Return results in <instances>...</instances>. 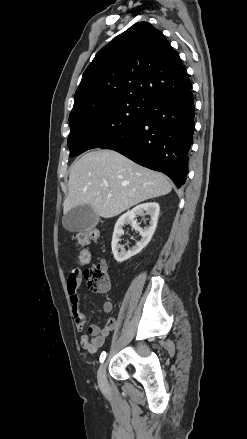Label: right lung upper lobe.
<instances>
[{
  "label": "right lung upper lobe",
  "mask_w": 247,
  "mask_h": 439,
  "mask_svg": "<svg viewBox=\"0 0 247 439\" xmlns=\"http://www.w3.org/2000/svg\"><path fill=\"white\" fill-rule=\"evenodd\" d=\"M191 86L180 56L161 31L139 22L96 54L75 92L70 116L122 100L149 105Z\"/></svg>",
  "instance_id": "right-lung-upper-lobe-1"
}]
</instances>
